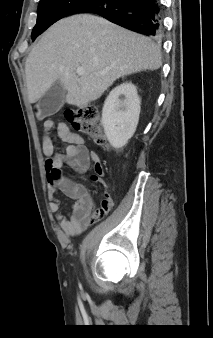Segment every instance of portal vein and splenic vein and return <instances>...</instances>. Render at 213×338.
Masks as SVG:
<instances>
[{"label":"portal vein and splenic vein","instance_id":"1","mask_svg":"<svg viewBox=\"0 0 213 338\" xmlns=\"http://www.w3.org/2000/svg\"><path fill=\"white\" fill-rule=\"evenodd\" d=\"M76 73H77L79 76H81V75L84 74V69H83L82 67H78V68L76 69Z\"/></svg>","mask_w":213,"mask_h":338}]
</instances>
